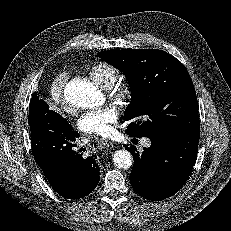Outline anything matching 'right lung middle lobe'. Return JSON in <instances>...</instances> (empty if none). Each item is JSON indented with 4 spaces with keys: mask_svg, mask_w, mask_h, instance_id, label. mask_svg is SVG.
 Returning <instances> with one entry per match:
<instances>
[{
    "mask_svg": "<svg viewBox=\"0 0 231 231\" xmlns=\"http://www.w3.org/2000/svg\"><path fill=\"white\" fill-rule=\"evenodd\" d=\"M37 103H39L38 99L30 101L29 117H28V121L30 125L34 122V119H35V107L37 106Z\"/></svg>",
    "mask_w": 231,
    "mask_h": 231,
    "instance_id": "1",
    "label": "right lung middle lobe"
}]
</instances>
